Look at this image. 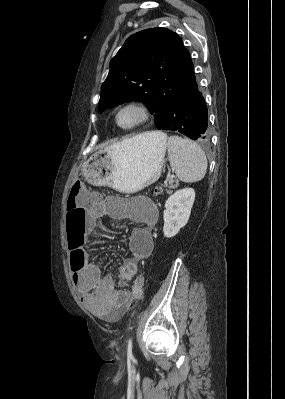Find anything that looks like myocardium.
<instances>
[{
  "label": "myocardium",
  "mask_w": 285,
  "mask_h": 399,
  "mask_svg": "<svg viewBox=\"0 0 285 399\" xmlns=\"http://www.w3.org/2000/svg\"><path fill=\"white\" fill-rule=\"evenodd\" d=\"M128 110L136 111L138 113L139 117L133 124H131L129 126H124L120 123L119 118L122 113H124L125 111H128ZM150 116H151L150 109L145 103L140 102V101H130V102L122 105L118 109V111L116 112V115H115V121H116V124L121 129L132 130V129H135V128L145 124L149 120Z\"/></svg>",
  "instance_id": "myocardium-1"
}]
</instances>
